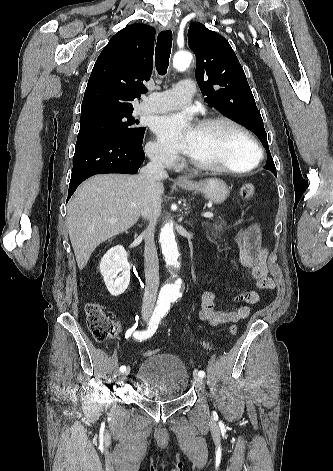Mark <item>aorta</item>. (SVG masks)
<instances>
[{
    "instance_id": "aorta-1",
    "label": "aorta",
    "mask_w": 333,
    "mask_h": 471,
    "mask_svg": "<svg viewBox=\"0 0 333 471\" xmlns=\"http://www.w3.org/2000/svg\"><path fill=\"white\" fill-rule=\"evenodd\" d=\"M191 60L192 55L190 52H178L173 58V66L178 71H183L190 65ZM159 242L166 263L172 268H179V251L175 240L173 222H167L162 227ZM181 285L182 281L180 279L165 284L159 293L158 306L163 309L168 308L171 301L179 297Z\"/></svg>"
}]
</instances>
